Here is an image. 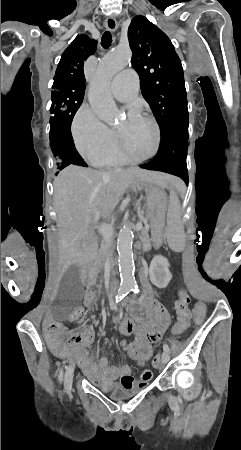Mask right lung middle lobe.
Here are the masks:
<instances>
[{"label": "right lung middle lobe", "instance_id": "dd1d6c3e", "mask_svg": "<svg viewBox=\"0 0 241 450\" xmlns=\"http://www.w3.org/2000/svg\"><path fill=\"white\" fill-rule=\"evenodd\" d=\"M52 89L49 138L52 141L53 165L59 172L70 165L65 156V145L73 142L71 122L82 104L85 88L57 83Z\"/></svg>", "mask_w": 241, "mask_h": 450}]
</instances>
